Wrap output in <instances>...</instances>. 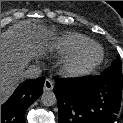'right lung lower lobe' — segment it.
<instances>
[{
    "instance_id": "obj_1",
    "label": "right lung lower lobe",
    "mask_w": 123,
    "mask_h": 123,
    "mask_svg": "<svg viewBox=\"0 0 123 123\" xmlns=\"http://www.w3.org/2000/svg\"><path fill=\"white\" fill-rule=\"evenodd\" d=\"M45 78L21 83L13 95L1 106V123H25L27 108L43 93Z\"/></svg>"
}]
</instances>
